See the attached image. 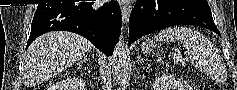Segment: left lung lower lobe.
<instances>
[{
    "label": "left lung lower lobe",
    "mask_w": 237,
    "mask_h": 90,
    "mask_svg": "<svg viewBox=\"0 0 237 90\" xmlns=\"http://www.w3.org/2000/svg\"><path fill=\"white\" fill-rule=\"evenodd\" d=\"M202 26L220 36L208 4L189 0H138L129 18V43L172 25Z\"/></svg>",
    "instance_id": "obj_1"
}]
</instances>
